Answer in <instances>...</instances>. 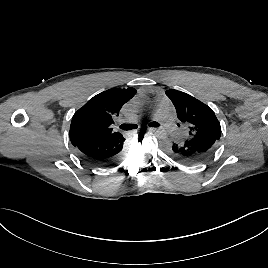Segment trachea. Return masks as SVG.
<instances>
[{"label":"trachea","instance_id":"obj_1","mask_svg":"<svg viewBox=\"0 0 268 268\" xmlns=\"http://www.w3.org/2000/svg\"><path fill=\"white\" fill-rule=\"evenodd\" d=\"M150 127H159L160 124L158 122H151L149 123ZM138 126L136 124H122L120 128L123 130H133L136 129Z\"/></svg>","mask_w":268,"mask_h":268}]
</instances>
